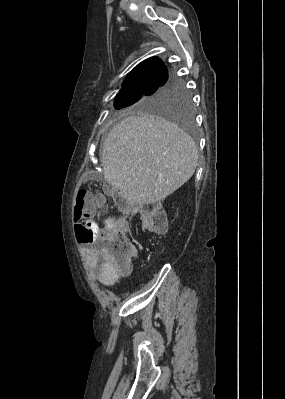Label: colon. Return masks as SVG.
<instances>
[{
	"mask_svg": "<svg viewBox=\"0 0 285 399\" xmlns=\"http://www.w3.org/2000/svg\"><path fill=\"white\" fill-rule=\"evenodd\" d=\"M107 201H118L128 213L138 215L148 229L159 233L166 231V216L159 203H148L143 207H138L120 199L117 193L108 186L97 192L86 188L78 190L73 209L74 220L77 222L75 232L78 240L81 242L94 240L102 244L106 258L119 273L125 274L130 270L134 253L132 244L127 239V224L124 219L117 221L111 228L103 229L101 233L88 230L86 236L82 234L85 231L83 220H88L91 224Z\"/></svg>",
	"mask_w": 285,
	"mask_h": 399,
	"instance_id": "1",
	"label": "colon"
}]
</instances>
